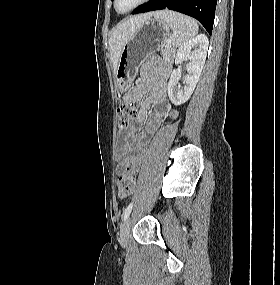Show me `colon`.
I'll return each mask as SVG.
<instances>
[{"instance_id":"1","label":"colon","mask_w":280,"mask_h":285,"mask_svg":"<svg viewBox=\"0 0 280 285\" xmlns=\"http://www.w3.org/2000/svg\"><path fill=\"white\" fill-rule=\"evenodd\" d=\"M136 114L134 103H123L117 109V126L120 130L128 128ZM136 180L134 176L127 172H121L117 181L118 194L121 197L130 195L135 188Z\"/></svg>"}]
</instances>
